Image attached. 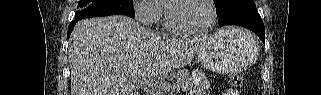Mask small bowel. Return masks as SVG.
<instances>
[{
  "label": "small bowel",
  "mask_w": 321,
  "mask_h": 95,
  "mask_svg": "<svg viewBox=\"0 0 321 95\" xmlns=\"http://www.w3.org/2000/svg\"><path fill=\"white\" fill-rule=\"evenodd\" d=\"M223 95H237V92L233 89L226 90Z\"/></svg>",
  "instance_id": "obj_1"
}]
</instances>
